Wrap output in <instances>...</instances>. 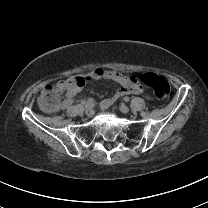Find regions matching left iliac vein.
<instances>
[{"label":"left iliac vein","mask_w":208,"mask_h":208,"mask_svg":"<svg viewBox=\"0 0 208 208\" xmlns=\"http://www.w3.org/2000/svg\"><path fill=\"white\" fill-rule=\"evenodd\" d=\"M119 109L122 113H125V114L129 112V107L126 106L125 104L120 105Z\"/></svg>","instance_id":"obj_1"}]
</instances>
